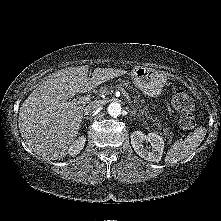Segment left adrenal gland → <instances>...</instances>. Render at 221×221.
<instances>
[{"mask_svg": "<svg viewBox=\"0 0 221 221\" xmlns=\"http://www.w3.org/2000/svg\"><path fill=\"white\" fill-rule=\"evenodd\" d=\"M131 114L134 115L135 113L133 111H131Z\"/></svg>", "mask_w": 221, "mask_h": 221, "instance_id": "a2214340", "label": "left adrenal gland"}]
</instances>
